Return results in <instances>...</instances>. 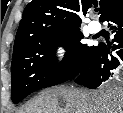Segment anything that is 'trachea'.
<instances>
[{"label": "trachea", "instance_id": "3493384b", "mask_svg": "<svg viewBox=\"0 0 123 113\" xmlns=\"http://www.w3.org/2000/svg\"><path fill=\"white\" fill-rule=\"evenodd\" d=\"M95 11L98 12V11H99V8L96 7V8H95Z\"/></svg>", "mask_w": 123, "mask_h": 113}]
</instances>
